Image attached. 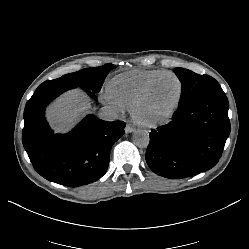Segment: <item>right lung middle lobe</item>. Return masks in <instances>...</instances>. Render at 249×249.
Segmentation results:
<instances>
[{
  "mask_svg": "<svg viewBox=\"0 0 249 249\" xmlns=\"http://www.w3.org/2000/svg\"><path fill=\"white\" fill-rule=\"evenodd\" d=\"M113 64H106L99 67L85 68L74 73L63 75L55 80H48L39 85L36 91L48 88H75L82 87L93 98L98 93L107 74L115 69Z\"/></svg>",
  "mask_w": 249,
  "mask_h": 249,
  "instance_id": "1",
  "label": "right lung middle lobe"
}]
</instances>
